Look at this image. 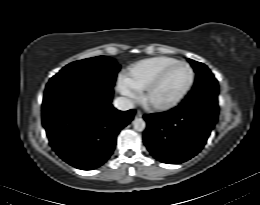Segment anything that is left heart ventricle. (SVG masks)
Listing matches in <instances>:
<instances>
[{
    "label": "left heart ventricle",
    "mask_w": 260,
    "mask_h": 205,
    "mask_svg": "<svg viewBox=\"0 0 260 205\" xmlns=\"http://www.w3.org/2000/svg\"><path fill=\"white\" fill-rule=\"evenodd\" d=\"M190 71L184 65H176L150 92L149 99L155 103H166L178 97L190 81Z\"/></svg>",
    "instance_id": "obj_1"
}]
</instances>
